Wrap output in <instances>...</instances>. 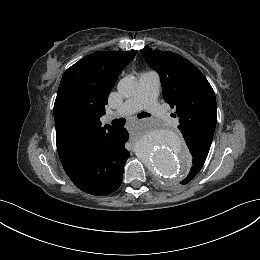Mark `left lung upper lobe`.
<instances>
[{
  "mask_svg": "<svg viewBox=\"0 0 260 260\" xmlns=\"http://www.w3.org/2000/svg\"><path fill=\"white\" fill-rule=\"evenodd\" d=\"M141 53L160 75L164 100L176 108L178 128L189 150L196 149L204 156L202 167L217 122L216 98L211 85L196 66L178 54L147 49H141Z\"/></svg>",
  "mask_w": 260,
  "mask_h": 260,
  "instance_id": "5c2ea615",
  "label": "left lung upper lobe"
}]
</instances>
